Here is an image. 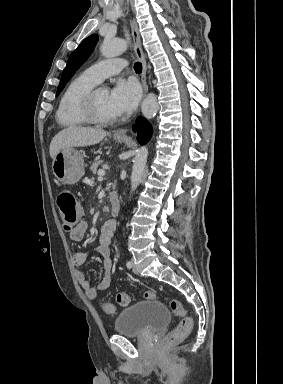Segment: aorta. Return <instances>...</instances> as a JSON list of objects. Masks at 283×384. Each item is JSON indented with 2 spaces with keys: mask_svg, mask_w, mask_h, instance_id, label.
<instances>
[{
  "mask_svg": "<svg viewBox=\"0 0 283 384\" xmlns=\"http://www.w3.org/2000/svg\"><path fill=\"white\" fill-rule=\"evenodd\" d=\"M127 49V42L123 39H105L100 47V52L105 58L119 56ZM142 113L145 118H153L158 111L157 97L154 93H149L142 102ZM148 149L142 146L134 160L131 173V190L135 191L142 180V175L147 162Z\"/></svg>",
  "mask_w": 283,
  "mask_h": 384,
  "instance_id": "aorta-1",
  "label": "aorta"
}]
</instances>
